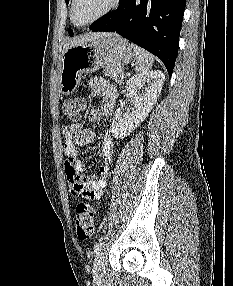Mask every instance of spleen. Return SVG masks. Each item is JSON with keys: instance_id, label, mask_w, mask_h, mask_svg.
Listing matches in <instances>:
<instances>
[{"instance_id": "spleen-1", "label": "spleen", "mask_w": 233, "mask_h": 286, "mask_svg": "<svg viewBox=\"0 0 233 286\" xmlns=\"http://www.w3.org/2000/svg\"><path fill=\"white\" fill-rule=\"evenodd\" d=\"M131 47L136 56L135 71L138 74L146 73L152 67L154 62L153 55L135 44H131Z\"/></svg>"}]
</instances>
